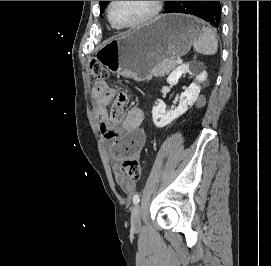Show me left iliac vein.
<instances>
[{
    "instance_id": "1",
    "label": "left iliac vein",
    "mask_w": 271,
    "mask_h": 266,
    "mask_svg": "<svg viewBox=\"0 0 271 266\" xmlns=\"http://www.w3.org/2000/svg\"><path fill=\"white\" fill-rule=\"evenodd\" d=\"M141 215L142 208L139 204H137L131 214V227L133 230L138 231L141 228Z\"/></svg>"
}]
</instances>
